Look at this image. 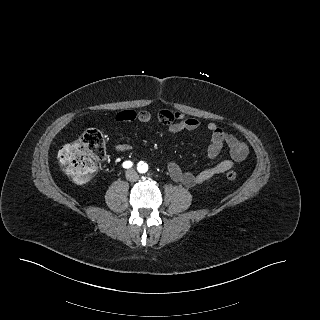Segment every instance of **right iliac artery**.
<instances>
[{
  "label": "right iliac artery",
  "mask_w": 320,
  "mask_h": 320,
  "mask_svg": "<svg viewBox=\"0 0 320 320\" xmlns=\"http://www.w3.org/2000/svg\"><path fill=\"white\" fill-rule=\"evenodd\" d=\"M122 166L126 169L130 168L133 166V163L131 161H124Z\"/></svg>",
  "instance_id": "82829eb1"
}]
</instances>
